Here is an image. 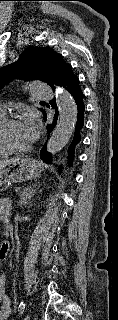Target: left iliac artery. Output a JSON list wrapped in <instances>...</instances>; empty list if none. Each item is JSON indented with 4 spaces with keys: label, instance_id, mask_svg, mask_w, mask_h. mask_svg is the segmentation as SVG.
<instances>
[{
    "label": "left iliac artery",
    "instance_id": "1",
    "mask_svg": "<svg viewBox=\"0 0 118 320\" xmlns=\"http://www.w3.org/2000/svg\"><path fill=\"white\" fill-rule=\"evenodd\" d=\"M25 308H26L25 303H24L23 301H21L20 304H19V309H18L19 312H20V314H23V313H24Z\"/></svg>",
    "mask_w": 118,
    "mask_h": 320
}]
</instances>
